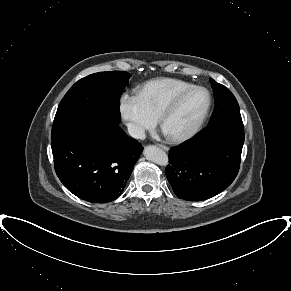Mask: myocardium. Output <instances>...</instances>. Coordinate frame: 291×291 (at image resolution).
Instances as JSON below:
<instances>
[{
	"label": "myocardium",
	"instance_id": "f54148a6",
	"mask_svg": "<svg viewBox=\"0 0 291 291\" xmlns=\"http://www.w3.org/2000/svg\"><path fill=\"white\" fill-rule=\"evenodd\" d=\"M195 90H203L204 92H206L207 97H208V101H207V105L204 109V111L202 112L201 116L199 117V119L197 120V122L195 123V125L187 132L180 134V135H167L164 133L163 131V127L165 124V121L167 120V118L176 110V108L179 106V104L182 102V100L191 92L195 91ZM212 107V95L211 92L204 86H200V85H192L191 87H188L182 91H180L179 93H177L167 104L166 106L162 109V111L160 112L159 116H158V124H159V128L160 130L164 133V135L166 136V138L171 141V142H175V143H179V142H184L190 138H192L193 136H195L203 127L205 121L207 120V117L209 115V112L211 110Z\"/></svg>",
	"mask_w": 291,
	"mask_h": 291
}]
</instances>
